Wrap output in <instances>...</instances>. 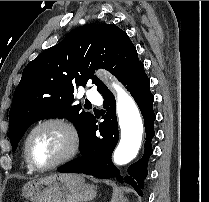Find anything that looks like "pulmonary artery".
<instances>
[{"label":"pulmonary artery","instance_id":"pulmonary-artery-1","mask_svg":"<svg viewBox=\"0 0 209 202\" xmlns=\"http://www.w3.org/2000/svg\"><path fill=\"white\" fill-rule=\"evenodd\" d=\"M87 98L92 104H94L96 106L101 105L102 98L96 90H93V89L88 90L87 91Z\"/></svg>","mask_w":209,"mask_h":202}]
</instances>
